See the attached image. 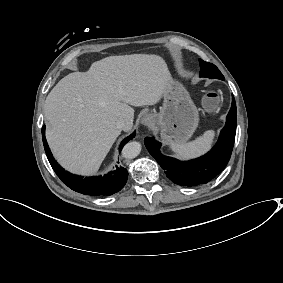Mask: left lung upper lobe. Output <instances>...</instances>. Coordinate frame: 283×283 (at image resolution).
<instances>
[{"mask_svg": "<svg viewBox=\"0 0 283 283\" xmlns=\"http://www.w3.org/2000/svg\"><path fill=\"white\" fill-rule=\"evenodd\" d=\"M199 62L201 67L200 77L217 78L224 80V76L215 65L205 62L202 59H200Z\"/></svg>", "mask_w": 283, "mask_h": 283, "instance_id": "1", "label": "left lung upper lobe"}]
</instances>
